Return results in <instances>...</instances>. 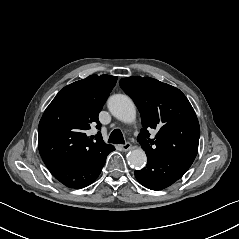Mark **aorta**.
<instances>
[{"mask_svg":"<svg viewBox=\"0 0 239 239\" xmlns=\"http://www.w3.org/2000/svg\"><path fill=\"white\" fill-rule=\"evenodd\" d=\"M107 106L111 114L122 122L131 123L136 119V107L127 95L114 94L110 96ZM127 159L134 167H141L147 162L146 154L142 149L132 150L128 153Z\"/></svg>","mask_w":239,"mask_h":239,"instance_id":"762f6f07","label":"aorta"}]
</instances>
